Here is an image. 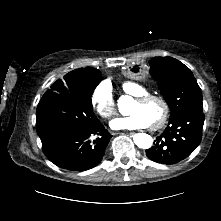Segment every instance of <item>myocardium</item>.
Segmentation results:
<instances>
[{
    "instance_id": "f54148a6",
    "label": "myocardium",
    "mask_w": 221,
    "mask_h": 221,
    "mask_svg": "<svg viewBox=\"0 0 221 221\" xmlns=\"http://www.w3.org/2000/svg\"><path fill=\"white\" fill-rule=\"evenodd\" d=\"M152 100H156V101L160 102L161 105L163 106V113H162V116L160 117V119L155 124L150 125L151 130H158L166 124V122L169 118V115H170V106H169L168 102L166 101V99H164L160 95L147 94L144 96L137 97L135 99V102H137L139 104H145V103L150 102Z\"/></svg>"
}]
</instances>
